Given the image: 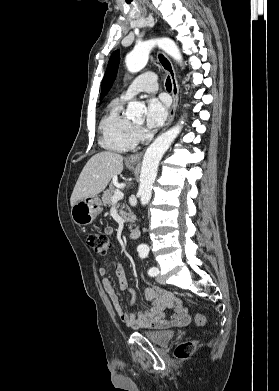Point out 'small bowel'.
Listing matches in <instances>:
<instances>
[{"instance_id":"obj_1","label":"small bowel","mask_w":279,"mask_h":391,"mask_svg":"<svg viewBox=\"0 0 279 391\" xmlns=\"http://www.w3.org/2000/svg\"><path fill=\"white\" fill-rule=\"evenodd\" d=\"M105 232L107 235H112L113 230L107 228ZM115 273L119 283V290L127 291L131 295L130 304H133L135 300L134 291L128 285L125 270L120 262H117L115 265ZM99 274L103 277V287L118 317L126 326L133 329H168L172 327H185L191 323V317L182 302L171 292L157 287L150 286L145 289V298L151 302L149 309L134 313L125 312L122 309L110 278L105 276L106 269L100 268ZM167 309L172 310V314L169 317L166 316Z\"/></svg>"}]
</instances>
